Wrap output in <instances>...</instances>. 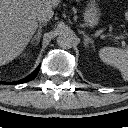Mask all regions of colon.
<instances>
[{"label":"colon","mask_w":128,"mask_h":128,"mask_svg":"<svg viewBox=\"0 0 128 128\" xmlns=\"http://www.w3.org/2000/svg\"><path fill=\"white\" fill-rule=\"evenodd\" d=\"M125 18L128 21V10L125 12Z\"/></svg>","instance_id":"5ec220e1"}]
</instances>
